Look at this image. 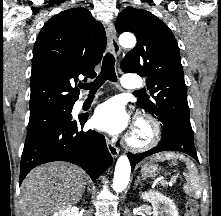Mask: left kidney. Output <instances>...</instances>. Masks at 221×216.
<instances>
[{
  "label": "left kidney",
  "instance_id": "5707ae66",
  "mask_svg": "<svg viewBox=\"0 0 221 216\" xmlns=\"http://www.w3.org/2000/svg\"><path fill=\"white\" fill-rule=\"evenodd\" d=\"M141 197L152 204L153 216H179L176 205L170 198L155 191L142 193Z\"/></svg>",
  "mask_w": 221,
  "mask_h": 216
}]
</instances>
